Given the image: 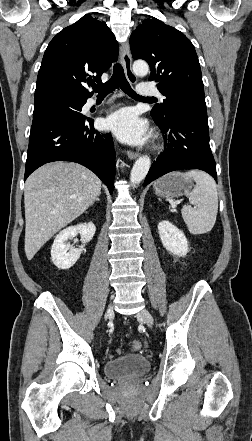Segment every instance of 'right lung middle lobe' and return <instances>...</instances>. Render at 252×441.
<instances>
[{"mask_svg": "<svg viewBox=\"0 0 252 441\" xmlns=\"http://www.w3.org/2000/svg\"><path fill=\"white\" fill-rule=\"evenodd\" d=\"M83 101H67L61 98L48 99L34 104L33 117L47 114H66L76 118H84L80 113Z\"/></svg>", "mask_w": 252, "mask_h": 441, "instance_id": "dd1d6c3e", "label": "right lung middle lobe"}]
</instances>
